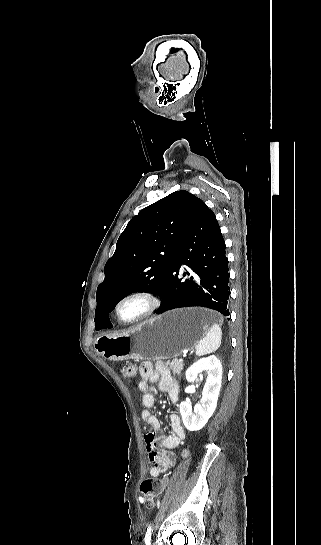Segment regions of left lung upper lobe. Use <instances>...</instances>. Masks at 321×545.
Instances as JSON below:
<instances>
[{"mask_svg":"<svg viewBox=\"0 0 321 545\" xmlns=\"http://www.w3.org/2000/svg\"><path fill=\"white\" fill-rule=\"evenodd\" d=\"M203 201L176 191L142 209L120 235L97 288L96 330L105 328L117 303L133 292L158 293L195 208Z\"/></svg>","mask_w":321,"mask_h":545,"instance_id":"5c2ea615","label":"left lung upper lobe"}]
</instances>
